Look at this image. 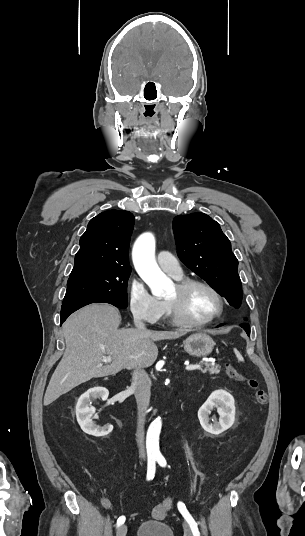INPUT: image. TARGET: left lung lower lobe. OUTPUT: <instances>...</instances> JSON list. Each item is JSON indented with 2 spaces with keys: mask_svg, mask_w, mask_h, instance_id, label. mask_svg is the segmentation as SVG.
<instances>
[{
  "mask_svg": "<svg viewBox=\"0 0 305 536\" xmlns=\"http://www.w3.org/2000/svg\"><path fill=\"white\" fill-rule=\"evenodd\" d=\"M247 333V335H250V326L248 323H243L240 325Z\"/></svg>",
  "mask_w": 305,
  "mask_h": 536,
  "instance_id": "0a47b994",
  "label": "left lung lower lobe"
}]
</instances>
